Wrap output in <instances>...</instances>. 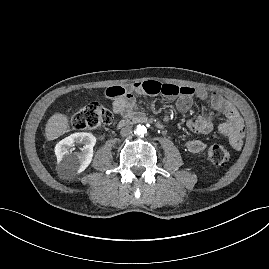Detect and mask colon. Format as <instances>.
<instances>
[{
    "label": "colon",
    "mask_w": 269,
    "mask_h": 269,
    "mask_svg": "<svg viewBox=\"0 0 269 269\" xmlns=\"http://www.w3.org/2000/svg\"><path fill=\"white\" fill-rule=\"evenodd\" d=\"M113 115L109 109L100 103L92 102L81 107L70 119V125L76 130L96 129L111 123ZM209 160L215 165H225L231 156L226 148L218 144L208 147Z\"/></svg>",
    "instance_id": "1"
}]
</instances>
